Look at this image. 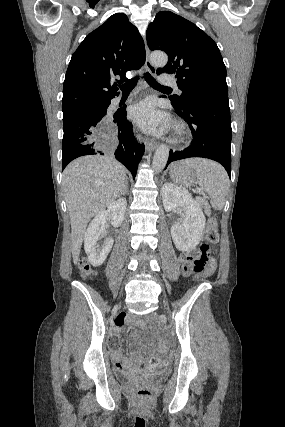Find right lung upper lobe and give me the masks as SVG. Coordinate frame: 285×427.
I'll list each match as a JSON object with an SVG mask.
<instances>
[{"label": "right lung upper lobe", "mask_w": 285, "mask_h": 427, "mask_svg": "<svg viewBox=\"0 0 285 427\" xmlns=\"http://www.w3.org/2000/svg\"><path fill=\"white\" fill-rule=\"evenodd\" d=\"M145 47L137 28L125 14L112 15L86 36L72 55L63 86V115L119 93L117 83L127 71L145 62Z\"/></svg>", "instance_id": "obj_1"}]
</instances>
